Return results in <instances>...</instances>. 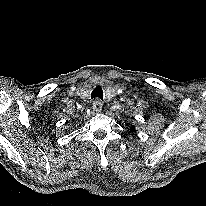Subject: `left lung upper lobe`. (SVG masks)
<instances>
[{
	"mask_svg": "<svg viewBox=\"0 0 206 206\" xmlns=\"http://www.w3.org/2000/svg\"><path fill=\"white\" fill-rule=\"evenodd\" d=\"M130 131H131V132H134V131H135V126H132L131 129H130Z\"/></svg>",
	"mask_w": 206,
	"mask_h": 206,
	"instance_id": "left-lung-upper-lobe-1",
	"label": "left lung upper lobe"
}]
</instances>
